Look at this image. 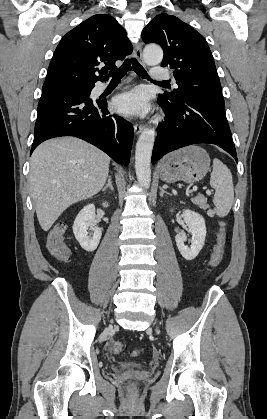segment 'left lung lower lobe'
Listing matches in <instances>:
<instances>
[{
	"label": "left lung lower lobe",
	"instance_id": "0a47b994",
	"mask_svg": "<svg viewBox=\"0 0 267 419\" xmlns=\"http://www.w3.org/2000/svg\"><path fill=\"white\" fill-rule=\"evenodd\" d=\"M158 104L163 108L166 118L158 125L152 153L153 164L168 152L197 143L218 145L237 161L221 94H198L179 103L158 99Z\"/></svg>",
	"mask_w": 267,
	"mask_h": 419
}]
</instances>
